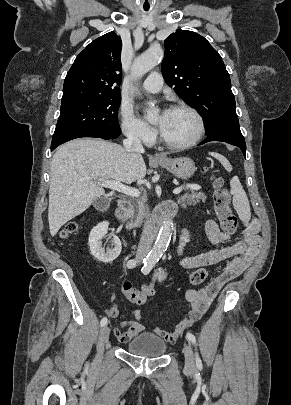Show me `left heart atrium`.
Listing matches in <instances>:
<instances>
[{"label":"left heart atrium","instance_id":"obj_1","mask_svg":"<svg viewBox=\"0 0 291 405\" xmlns=\"http://www.w3.org/2000/svg\"><path fill=\"white\" fill-rule=\"evenodd\" d=\"M168 111H169V110H163L162 113H161V115H160L159 122H158V125H159L160 128H161L162 125H163V122H164V120H165V118H166V116H167V114H168Z\"/></svg>","mask_w":291,"mask_h":405}]
</instances>
